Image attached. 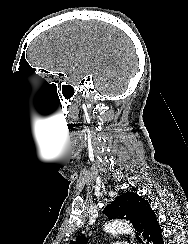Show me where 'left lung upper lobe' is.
<instances>
[{
    "label": "left lung upper lobe",
    "instance_id": "left-lung-upper-lobe-1",
    "mask_svg": "<svg viewBox=\"0 0 188 244\" xmlns=\"http://www.w3.org/2000/svg\"><path fill=\"white\" fill-rule=\"evenodd\" d=\"M104 214L107 215L109 219H126L130 221L135 230L136 236L140 242L142 240L139 235L143 236V231L147 217L151 212H154L147 199L139 196L133 192H126L118 197L104 209ZM87 239L85 235L77 237L75 242L70 244H86Z\"/></svg>",
    "mask_w": 188,
    "mask_h": 244
}]
</instances>
